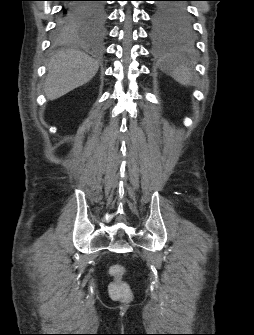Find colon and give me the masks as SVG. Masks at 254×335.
<instances>
[{"mask_svg": "<svg viewBox=\"0 0 254 335\" xmlns=\"http://www.w3.org/2000/svg\"><path fill=\"white\" fill-rule=\"evenodd\" d=\"M113 280L108 286V292L114 299L127 300L131 297V292L127 284L123 281L124 268L121 265H113L109 269Z\"/></svg>", "mask_w": 254, "mask_h": 335, "instance_id": "colon-1", "label": "colon"}]
</instances>
